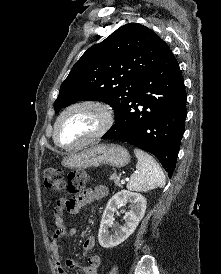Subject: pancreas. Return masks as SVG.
I'll use <instances>...</instances> for the list:
<instances>
[{"label": "pancreas", "instance_id": "1", "mask_svg": "<svg viewBox=\"0 0 221 274\" xmlns=\"http://www.w3.org/2000/svg\"><path fill=\"white\" fill-rule=\"evenodd\" d=\"M110 180L113 181L116 186H121L120 177L116 173H114L110 176Z\"/></svg>", "mask_w": 221, "mask_h": 274}]
</instances>
